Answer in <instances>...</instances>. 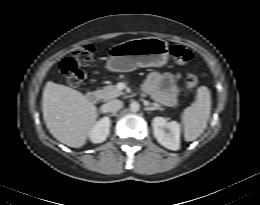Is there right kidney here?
<instances>
[{"label":"right kidney","mask_w":260,"mask_h":205,"mask_svg":"<svg viewBox=\"0 0 260 205\" xmlns=\"http://www.w3.org/2000/svg\"><path fill=\"white\" fill-rule=\"evenodd\" d=\"M111 121L109 117H103L93 127L90 132V140L93 143H102L106 140L110 132Z\"/></svg>","instance_id":"right-kidney-1"}]
</instances>
